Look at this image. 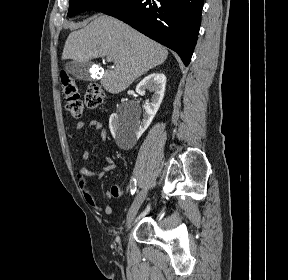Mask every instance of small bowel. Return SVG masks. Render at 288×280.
<instances>
[{"label": "small bowel", "instance_id": "obj_1", "mask_svg": "<svg viewBox=\"0 0 288 280\" xmlns=\"http://www.w3.org/2000/svg\"><path fill=\"white\" fill-rule=\"evenodd\" d=\"M84 122L80 121L77 123L76 128L78 131H81L84 128ZM89 126L100 133L101 140L105 142L107 140V131L103 126V123L99 120L93 119L89 122ZM81 158L86 161L89 159V152L87 150H79ZM106 164L102 166L99 170L94 171L87 167H81L78 175L77 181L80 187V190L86 200V202L93 208L97 209L98 211L104 214H111L112 207L110 205L102 206L100 205L93 194V191L88 184V178L93 177L97 179H102L107 173L111 172L115 168V162L111 156H105ZM107 198H118L123 195V190L118 185H113L110 187L106 193Z\"/></svg>", "mask_w": 288, "mask_h": 280}]
</instances>
